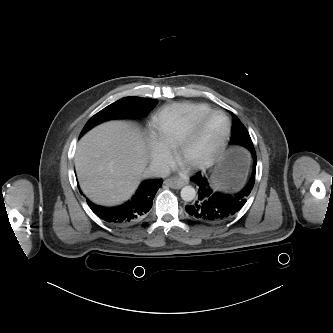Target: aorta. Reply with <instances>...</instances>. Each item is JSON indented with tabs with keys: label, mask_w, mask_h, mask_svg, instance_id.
Masks as SVG:
<instances>
[{
	"label": "aorta",
	"mask_w": 333,
	"mask_h": 333,
	"mask_svg": "<svg viewBox=\"0 0 333 333\" xmlns=\"http://www.w3.org/2000/svg\"><path fill=\"white\" fill-rule=\"evenodd\" d=\"M180 195L184 201L190 202L194 200L196 191L192 186H185L181 189Z\"/></svg>",
	"instance_id": "obj_1"
}]
</instances>
